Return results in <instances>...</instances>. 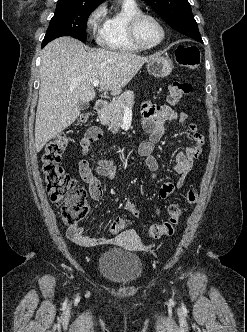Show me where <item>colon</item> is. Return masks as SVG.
Returning <instances> with one entry per match:
<instances>
[{
	"label": "colon",
	"mask_w": 247,
	"mask_h": 332,
	"mask_svg": "<svg viewBox=\"0 0 247 332\" xmlns=\"http://www.w3.org/2000/svg\"><path fill=\"white\" fill-rule=\"evenodd\" d=\"M177 62L186 68L194 69L200 62V53L193 46H179L176 49ZM192 90V85L188 82L175 81L168 89V102L178 103L184 96ZM89 114L84 113L79 121L84 123L88 120ZM68 144V138L64 133L53 137L45 146L41 157L42 172L45 179L47 192L57 206L63 221L68 225L77 224L89 212L86 199V190L81 187L77 180L66 173L60 161L63 152ZM199 189L190 187L186 193V201L189 204L197 202ZM168 218L159 224H153L147 229V235L152 239H159L165 236H172L182 215V210L177 204H170L167 209ZM127 227V221L123 218H115L110 224V232L119 233Z\"/></svg>",
	"instance_id": "colon-1"
}]
</instances>
